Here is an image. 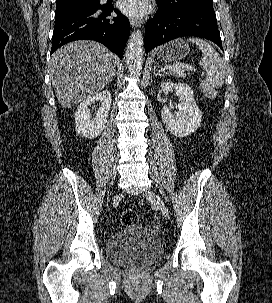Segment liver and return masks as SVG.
<instances>
[{"mask_svg":"<svg viewBox=\"0 0 272 303\" xmlns=\"http://www.w3.org/2000/svg\"><path fill=\"white\" fill-rule=\"evenodd\" d=\"M118 58L104 45L90 40L67 43L50 60L52 85L64 108L99 93L113 78Z\"/></svg>","mask_w":272,"mask_h":303,"instance_id":"obj_1","label":"liver"}]
</instances>
